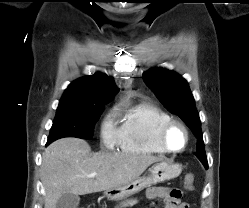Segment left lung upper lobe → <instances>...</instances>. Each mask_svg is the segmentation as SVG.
Wrapping results in <instances>:
<instances>
[{
    "mask_svg": "<svg viewBox=\"0 0 249 208\" xmlns=\"http://www.w3.org/2000/svg\"><path fill=\"white\" fill-rule=\"evenodd\" d=\"M143 79L164 107L176 113L198 138L196 156L207 169L201 122L187 81L179 74L162 68L148 70L143 73Z\"/></svg>",
    "mask_w": 249,
    "mask_h": 208,
    "instance_id": "left-lung-upper-lobe-1",
    "label": "left lung upper lobe"
}]
</instances>
